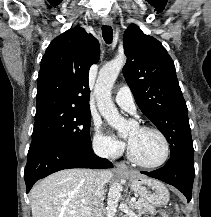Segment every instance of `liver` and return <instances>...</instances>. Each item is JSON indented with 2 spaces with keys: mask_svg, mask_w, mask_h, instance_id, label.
Masks as SVG:
<instances>
[{
  "mask_svg": "<svg viewBox=\"0 0 211 217\" xmlns=\"http://www.w3.org/2000/svg\"><path fill=\"white\" fill-rule=\"evenodd\" d=\"M99 173L105 184L113 176L110 170ZM97 175L87 169H67L49 175L31 189L32 217H90Z\"/></svg>",
  "mask_w": 211,
  "mask_h": 217,
  "instance_id": "liver-1",
  "label": "liver"
}]
</instances>
